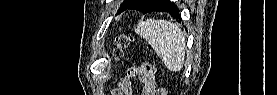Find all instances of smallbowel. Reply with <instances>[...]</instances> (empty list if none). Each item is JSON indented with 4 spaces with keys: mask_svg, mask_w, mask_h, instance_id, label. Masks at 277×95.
<instances>
[{
    "mask_svg": "<svg viewBox=\"0 0 277 95\" xmlns=\"http://www.w3.org/2000/svg\"><path fill=\"white\" fill-rule=\"evenodd\" d=\"M152 70H153L152 66H145V67H142L141 69L131 68L128 71L129 75L122 78L119 81L118 83L119 90L113 91L112 94H125V95L133 94L131 77H141L143 78V82H144V88L141 93L142 95H164L165 90L157 87L151 79Z\"/></svg>",
    "mask_w": 277,
    "mask_h": 95,
    "instance_id": "obj_1",
    "label": "small bowel"
}]
</instances>
